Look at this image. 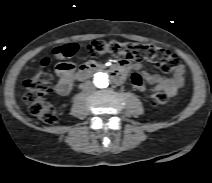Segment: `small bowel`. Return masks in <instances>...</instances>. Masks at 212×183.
I'll list each match as a JSON object with an SVG mask.
<instances>
[{"label":"small bowel","instance_id":"c3829d8e","mask_svg":"<svg viewBox=\"0 0 212 183\" xmlns=\"http://www.w3.org/2000/svg\"><path fill=\"white\" fill-rule=\"evenodd\" d=\"M118 68L122 71L123 75L130 70L135 71L131 76V83L133 87L139 91H144L146 89L144 85V81H146L153 86V92L163 91L172 98L184 84L185 69L182 65L178 66L172 78L144 71L142 69L143 65L140 62L130 63L128 61H121ZM56 74L58 77L56 92L61 96L68 95L74 83L73 70H62L57 66Z\"/></svg>","mask_w":212,"mask_h":183}]
</instances>
